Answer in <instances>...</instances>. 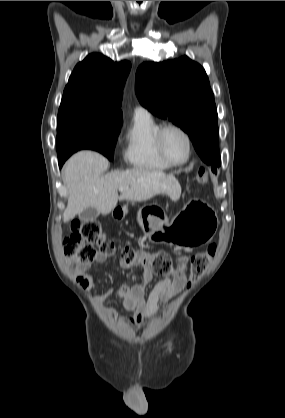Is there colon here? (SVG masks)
Here are the masks:
<instances>
[{
	"instance_id": "5ec220e1",
	"label": "colon",
	"mask_w": 285,
	"mask_h": 418,
	"mask_svg": "<svg viewBox=\"0 0 285 418\" xmlns=\"http://www.w3.org/2000/svg\"><path fill=\"white\" fill-rule=\"evenodd\" d=\"M213 175L215 172L210 169L201 168L199 170V180L202 183L208 182ZM63 243L68 258L75 259L83 265L92 264L99 251L112 252L114 250L113 244L107 239L100 224L96 222L81 223L78 220H73L71 232L64 236ZM215 253L216 246L210 245L192 258L189 267L191 281L205 271ZM137 255L131 250L123 252V258L126 261L134 260ZM151 258L153 270L157 274L168 276L176 273V266L168 255L157 253ZM76 281L83 288L89 287L91 283L89 276L84 273L77 274Z\"/></svg>"
}]
</instances>
